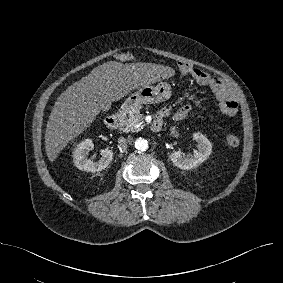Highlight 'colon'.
I'll return each mask as SVG.
<instances>
[{
    "instance_id": "colon-1",
    "label": "colon",
    "mask_w": 283,
    "mask_h": 283,
    "mask_svg": "<svg viewBox=\"0 0 283 283\" xmlns=\"http://www.w3.org/2000/svg\"><path fill=\"white\" fill-rule=\"evenodd\" d=\"M180 68L184 72H188L190 70V67L186 64H181ZM225 144L229 149H236L238 148L240 144V140L237 135L233 133H228L225 135Z\"/></svg>"
}]
</instances>
